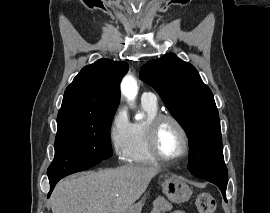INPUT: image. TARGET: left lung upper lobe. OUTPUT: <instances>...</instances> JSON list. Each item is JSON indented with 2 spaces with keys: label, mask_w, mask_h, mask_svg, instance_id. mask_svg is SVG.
Here are the masks:
<instances>
[{
  "label": "left lung upper lobe",
  "mask_w": 270,
  "mask_h": 213,
  "mask_svg": "<svg viewBox=\"0 0 270 213\" xmlns=\"http://www.w3.org/2000/svg\"><path fill=\"white\" fill-rule=\"evenodd\" d=\"M140 78L152 86L172 116L189 134V161L201 178L227 186L218 110L213 94L190 63L167 54L140 69Z\"/></svg>",
  "instance_id": "1"
}]
</instances>
